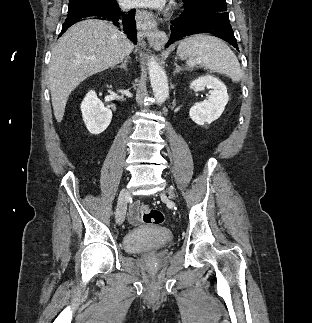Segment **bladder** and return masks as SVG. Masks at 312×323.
I'll return each mask as SVG.
<instances>
[{"instance_id": "obj_1", "label": "bladder", "mask_w": 312, "mask_h": 323, "mask_svg": "<svg viewBox=\"0 0 312 323\" xmlns=\"http://www.w3.org/2000/svg\"><path fill=\"white\" fill-rule=\"evenodd\" d=\"M171 239V234L166 229L150 231L146 235L133 231L127 236L125 250L134 253L150 252V248L157 249L163 244H170Z\"/></svg>"}]
</instances>
